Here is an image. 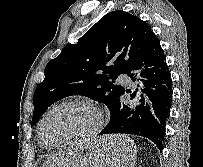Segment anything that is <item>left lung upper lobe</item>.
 Listing matches in <instances>:
<instances>
[{
	"instance_id": "left-lung-upper-lobe-1",
	"label": "left lung upper lobe",
	"mask_w": 203,
	"mask_h": 167,
	"mask_svg": "<svg viewBox=\"0 0 203 167\" xmlns=\"http://www.w3.org/2000/svg\"><path fill=\"white\" fill-rule=\"evenodd\" d=\"M151 28L125 11L102 17L76 44L66 45L48 62L34 93L33 126L50 105L71 95L103 102L110 110L125 88L115 85L156 40Z\"/></svg>"
}]
</instances>
